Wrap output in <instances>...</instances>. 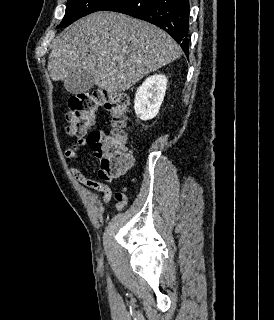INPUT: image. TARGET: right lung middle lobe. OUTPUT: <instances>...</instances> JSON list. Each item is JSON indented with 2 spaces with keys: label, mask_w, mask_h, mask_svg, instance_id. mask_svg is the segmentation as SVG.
I'll use <instances>...</instances> for the list:
<instances>
[{
  "label": "right lung middle lobe",
  "mask_w": 274,
  "mask_h": 320,
  "mask_svg": "<svg viewBox=\"0 0 274 320\" xmlns=\"http://www.w3.org/2000/svg\"><path fill=\"white\" fill-rule=\"evenodd\" d=\"M115 0H68L65 16L57 27H65L90 13L103 10Z\"/></svg>",
  "instance_id": "right-lung-middle-lobe-1"
}]
</instances>
